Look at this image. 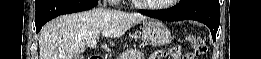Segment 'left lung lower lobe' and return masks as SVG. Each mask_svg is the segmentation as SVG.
Segmentation results:
<instances>
[{
	"label": "left lung lower lobe",
	"mask_w": 261,
	"mask_h": 59,
	"mask_svg": "<svg viewBox=\"0 0 261 59\" xmlns=\"http://www.w3.org/2000/svg\"><path fill=\"white\" fill-rule=\"evenodd\" d=\"M140 13L150 17L167 21L196 20L204 23L211 31L215 40L220 23V7L218 0H191L180 3L167 11H146L139 10Z\"/></svg>",
	"instance_id": "1"
}]
</instances>
